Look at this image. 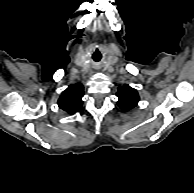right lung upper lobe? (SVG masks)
I'll return each mask as SVG.
<instances>
[{
  "label": "right lung upper lobe",
  "instance_id": "1",
  "mask_svg": "<svg viewBox=\"0 0 194 193\" xmlns=\"http://www.w3.org/2000/svg\"><path fill=\"white\" fill-rule=\"evenodd\" d=\"M83 85H70L58 100L59 107L69 114L76 113L82 106Z\"/></svg>",
  "mask_w": 194,
  "mask_h": 193
}]
</instances>
